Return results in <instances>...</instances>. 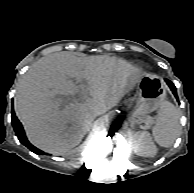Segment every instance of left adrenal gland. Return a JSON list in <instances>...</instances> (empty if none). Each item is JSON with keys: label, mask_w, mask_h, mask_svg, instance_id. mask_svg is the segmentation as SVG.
Segmentation results:
<instances>
[{"label": "left adrenal gland", "mask_w": 194, "mask_h": 193, "mask_svg": "<svg viewBox=\"0 0 194 193\" xmlns=\"http://www.w3.org/2000/svg\"><path fill=\"white\" fill-rule=\"evenodd\" d=\"M136 123H139V122L136 121V119H134V118H130V126H131V127H134V125H135Z\"/></svg>", "instance_id": "left-adrenal-gland-1"}]
</instances>
